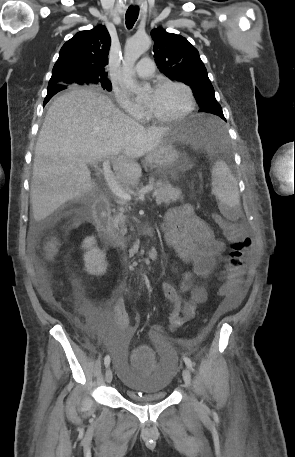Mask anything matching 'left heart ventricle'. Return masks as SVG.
Returning <instances> with one entry per match:
<instances>
[{
    "mask_svg": "<svg viewBox=\"0 0 295 457\" xmlns=\"http://www.w3.org/2000/svg\"><path fill=\"white\" fill-rule=\"evenodd\" d=\"M144 103L157 115L170 117L180 114L186 109L188 98L182 88L164 86L151 90Z\"/></svg>",
    "mask_w": 295,
    "mask_h": 457,
    "instance_id": "1",
    "label": "left heart ventricle"
}]
</instances>
